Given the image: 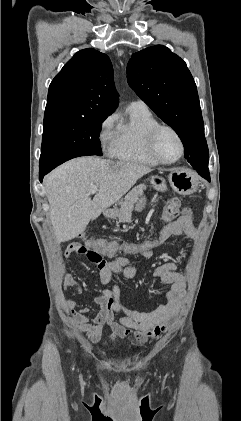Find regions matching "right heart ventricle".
<instances>
[{
	"label": "right heart ventricle",
	"mask_w": 241,
	"mask_h": 421,
	"mask_svg": "<svg viewBox=\"0 0 241 421\" xmlns=\"http://www.w3.org/2000/svg\"><path fill=\"white\" fill-rule=\"evenodd\" d=\"M158 124L148 108L129 106L127 119L120 122L114 132L111 155L121 161L148 166L158 165L146 145L149 131Z\"/></svg>",
	"instance_id": "obj_1"
}]
</instances>
